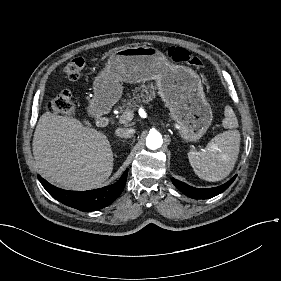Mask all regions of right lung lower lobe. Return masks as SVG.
I'll return each instance as SVG.
<instances>
[{
    "instance_id": "obj_1",
    "label": "right lung lower lobe",
    "mask_w": 281,
    "mask_h": 281,
    "mask_svg": "<svg viewBox=\"0 0 281 281\" xmlns=\"http://www.w3.org/2000/svg\"><path fill=\"white\" fill-rule=\"evenodd\" d=\"M128 170L113 185L89 191H67L48 183L41 176L39 181L46 191L61 203L81 211L90 212L110 205L124 189Z\"/></svg>"
}]
</instances>
